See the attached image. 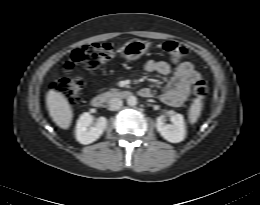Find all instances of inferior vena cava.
Here are the masks:
<instances>
[{"instance_id": "1", "label": "inferior vena cava", "mask_w": 260, "mask_h": 205, "mask_svg": "<svg viewBox=\"0 0 260 205\" xmlns=\"http://www.w3.org/2000/svg\"><path fill=\"white\" fill-rule=\"evenodd\" d=\"M123 105V101L120 98H112L109 101V109L112 111L119 110Z\"/></svg>"}]
</instances>
